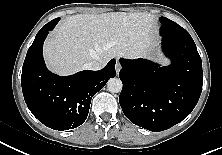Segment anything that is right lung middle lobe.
I'll return each mask as SVG.
<instances>
[{"label":"right lung middle lobe","mask_w":222,"mask_h":155,"mask_svg":"<svg viewBox=\"0 0 222 155\" xmlns=\"http://www.w3.org/2000/svg\"><path fill=\"white\" fill-rule=\"evenodd\" d=\"M54 21H59V18L54 19Z\"/></svg>","instance_id":"right-lung-middle-lobe-1"}]
</instances>
